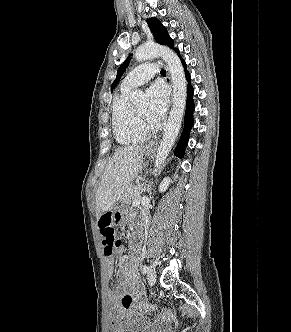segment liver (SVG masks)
<instances>
[{"mask_svg":"<svg viewBox=\"0 0 291 332\" xmlns=\"http://www.w3.org/2000/svg\"><path fill=\"white\" fill-rule=\"evenodd\" d=\"M147 147L132 145L116 151L109 160L96 192V217L111 211L142 169Z\"/></svg>","mask_w":291,"mask_h":332,"instance_id":"liver-1","label":"liver"}]
</instances>
